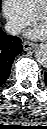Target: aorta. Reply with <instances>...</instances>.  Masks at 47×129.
<instances>
[{
  "label": "aorta",
  "instance_id": "aorta-1",
  "mask_svg": "<svg viewBox=\"0 0 47 129\" xmlns=\"http://www.w3.org/2000/svg\"><path fill=\"white\" fill-rule=\"evenodd\" d=\"M35 58L37 62L42 65L46 66L47 64V45L46 44H39L35 49Z\"/></svg>",
  "mask_w": 47,
  "mask_h": 129
}]
</instances>
